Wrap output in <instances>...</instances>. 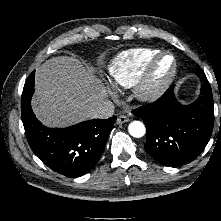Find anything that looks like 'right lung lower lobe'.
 Wrapping results in <instances>:
<instances>
[{"instance_id": "1", "label": "right lung lower lobe", "mask_w": 221, "mask_h": 221, "mask_svg": "<svg viewBox=\"0 0 221 221\" xmlns=\"http://www.w3.org/2000/svg\"><path fill=\"white\" fill-rule=\"evenodd\" d=\"M34 74L35 71L28 77L21 98L22 121L31 149L46 166L64 176L79 177L88 173L104 152L116 116L63 129L43 126L30 105Z\"/></svg>"}]
</instances>
